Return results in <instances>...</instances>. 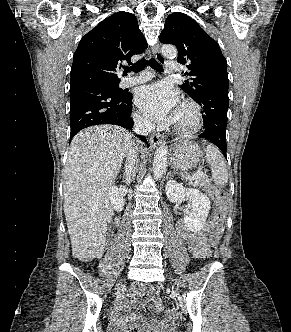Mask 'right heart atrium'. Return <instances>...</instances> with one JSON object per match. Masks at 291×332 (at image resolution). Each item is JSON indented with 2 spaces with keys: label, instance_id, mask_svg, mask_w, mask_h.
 I'll return each instance as SVG.
<instances>
[{
  "label": "right heart atrium",
  "instance_id": "1",
  "mask_svg": "<svg viewBox=\"0 0 291 332\" xmlns=\"http://www.w3.org/2000/svg\"><path fill=\"white\" fill-rule=\"evenodd\" d=\"M135 120H136V122H137L138 124H140V125H143V126L147 125V122L145 121V119L142 118V117H141L140 115H138V114L135 115Z\"/></svg>",
  "mask_w": 291,
  "mask_h": 332
}]
</instances>
